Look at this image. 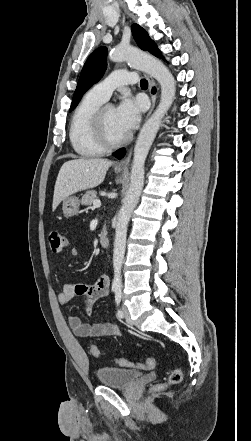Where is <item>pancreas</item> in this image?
Segmentation results:
<instances>
[{
  "label": "pancreas",
  "instance_id": "cf45deb5",
  "mask_svg": "<svg viewBox=\"0 0 251 441\" xmlns=\"http://www.w3.org/2000/svg\"><path fill=\"white\" fill-rule=\"evenodd\" d=\"M97 199V192L95 190L87 191L81 199L82 205L90 207L94 200Z\"/></svg>",
  "mask_w": 251,
  "mask_h": 441
}]
</instances>
